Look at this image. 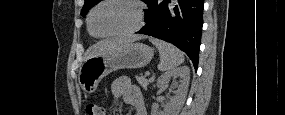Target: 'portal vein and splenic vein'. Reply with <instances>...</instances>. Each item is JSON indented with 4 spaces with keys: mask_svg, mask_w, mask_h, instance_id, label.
<instances>
[{
    "mask_svg": "<svg viewBox=\"0 0 285 115\" xmlns=\"http://www.w3.org/2000/svg\"><path fill=\"white\" fill-rule=\"evenodd\" d=\"M145 75H147V76L150 75V72H149V71H146V72H145Z\"/></svg>",
    "mask_w": 285,
    "mask_h": 115,
    "instance_id": "obj_1",
    "label": "portal vein and splenic vein"
}]
</instances>
